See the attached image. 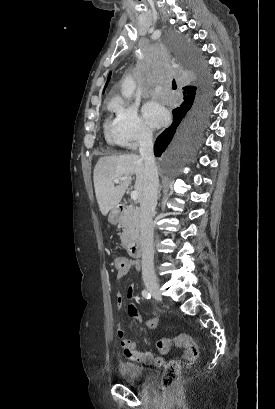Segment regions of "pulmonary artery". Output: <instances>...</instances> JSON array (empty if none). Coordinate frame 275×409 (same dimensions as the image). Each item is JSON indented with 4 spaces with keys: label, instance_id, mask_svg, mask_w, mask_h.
<instances>
[{
    "label": "pulmonary artery",
    "instance_id": "obj_1",
    "mask_svg": "<svg viewBox=\"0 0 275 409\" xmlns=\"http://www.w3.org/2000/svg\"><path fill=\"white\" fill-rule=\"evenodd\" d=\"M161 90H162L161 86L154 87V93H156V94H159Z\"/></svg>",
    "mask_w": 275,
    "mask_h": 409
}]
</instances>
